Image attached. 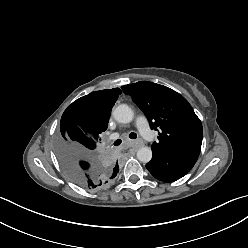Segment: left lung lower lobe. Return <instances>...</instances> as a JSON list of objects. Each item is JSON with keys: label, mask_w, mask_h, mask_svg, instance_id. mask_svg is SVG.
Wrapping results in <instances>:
<instances>
[{"label": "left lung lower lobe", "mask_w": 248, "mask_h": 248, "mask_svg": "<svg viewBox=\"0 0 248 248\" xmlns=\"http://www.w3.org/2000/svg\"><path fill=\"white\" fill-rule=\"evenodd\" d=\"M153 152L146 164L147 170L158 180L173 182L185 176L196 163L200 151H180L171 153Z\"/></svg>", "instance_id": "1"}]
</instances>
